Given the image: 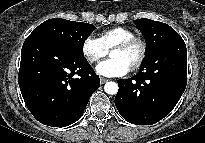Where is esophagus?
I'll list each match as a JSON object with an SVG mask.
<instances>
[{
  "label": "esophagus",
  "mask_w": 205,
  "mask_h": 143,
  "mask_svg": "<svg viewBox=\"0 0 205 143\" xmlns=\"http://www.w3.org/2000/svg\"><path fill=\"white\" fill-rule=\"evenodd\" d=\"M107 81H108V79L103 78V77H100V82H101V84H104V83H106Z\"/></svg>",
  "instance_id": "34e87169"
}]
</instances>
